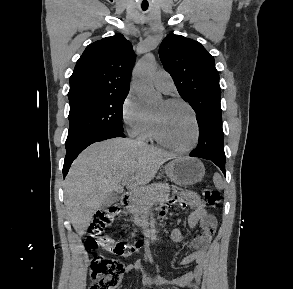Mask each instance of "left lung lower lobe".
Returning <instances> with one entry per match:
<instances>
[{
	"label": "left lung lower lobe",
	"instance_id": "1",
	"mask_svg": "<svg viewBox=\"0 0 293 289\" xmlns=\"http://www.w3.org/2000/svg\"><path fill=\"white\" fill-rule=\"evenodd\" d=\"M199 142L189 156L207 159L215 163L225 174V153L222 122L216 119L198 122Z\"/></svg>",
	"mask_w": 293,
	"mask_h": 289
}]
</instances>
